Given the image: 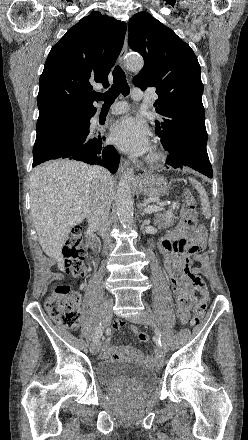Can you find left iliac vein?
<instances>
[{"instance_id":"left-iliac-vein-1","label":"left iliac vein","mask_w":248,"mask_h":440,"mask_svg":"<svg viewBox=\"0 0 248 440\" xmlns=\"http://www.w3.org/2000/svg\"><path fill=\"white\" fill-rule=\"evenodd\" d=\"M131 322L137 323V324H146V325H153V316L149 311L140 312L136 315L130 316L128 318ZM162 350L164 352H167L169 350V342L165 336H162Z\"/></svg>"}]
</instances>
